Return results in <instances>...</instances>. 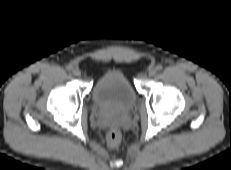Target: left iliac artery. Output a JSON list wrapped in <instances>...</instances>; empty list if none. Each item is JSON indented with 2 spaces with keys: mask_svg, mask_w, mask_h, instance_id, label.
<instances>
[{
  "mask_svg": "<svg viewBox=\"0 0 231 170\" xmlns=\"http://www.w3.org/2000/svg\"><path fill=\"white\" fill-rule=\"evenodd\" d=\"M156 69L160 71L163 69V67H162V65L159 64V65H157Z\"/></svg>",
  "mask_w": 231,
  "mask_h": 170,
  "instance_id": "1",
  "label": "left iliac artery"
}]
</instances>
